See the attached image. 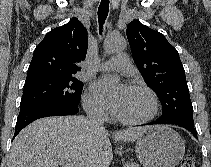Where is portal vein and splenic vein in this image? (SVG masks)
<instances>
[{
	"instance_id": "1",
	"label": "portal vein and splenic vein",
	"mask_w": 211,
	"mask_h": 167,
	"mask_svg": "<svg viewBox=\"0 0 211 167\" xmlns=\"http://www.w3.org/2000/svg\"><path fill=\"white\" fill-rule=\"evenodd\" d=\"M60 165H62V167H74V163L66 161L60 162Z\"/></svg>"
}]
</instances>
